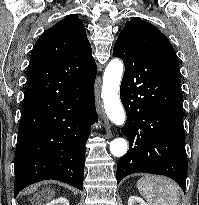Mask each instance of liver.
<instances>
[{"mask_svg": "<svg viewBox=\"0 0 199 205\" xmlns=\"http://www.w3.org/2000/svg\"><path fill=\"white\" fill-rule=\"evenodd\" d=\"M45 192H46V191H44V190L41 191V192L37 195V199L39 198V196H44ZM54 195H55L54 192L50 193L49 196H45V197L43 198V201H49V200H51V199L54 197ZM33 203L39 204L40 202H36V200H33Z\"/></svg>", "mask_w": 199, "mask_h": 205, "instance_id": "1", "label": "liver"}]
</instances>
